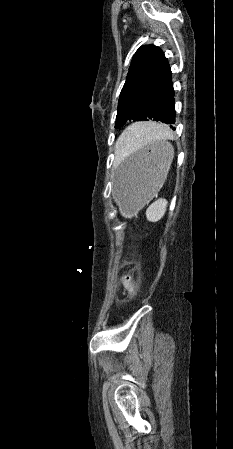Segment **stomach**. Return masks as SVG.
<instances>
[{
    "label": "stomach",
    "mask_w": 233,
    "mask_h": 449,
    "mask_svg": "<svg viewBox=\"0 0 233 449\" xmlns=\"http://www.w3.org/2000/svg\"><path fill=\"white\" fill-rule=\"evenodd\" d=\"M173 157L171 145L155 142L141 149L119 168L114 200L124 217H131L161 188Z\"/></svg>",
    "instance_id": "obj_1"
}]
</instances>
